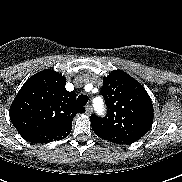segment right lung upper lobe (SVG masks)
<instances>
[{
  "mask_svg": "<svg viewBox=\"0 0 182 182\" xmlns=\"http://www.w3.org/2000/svg\"><path fill=\"white\" fill-rule=\"evenodd\" d=\"M64 76L50 69L31 76L11 104L9 115L18 133L31 143L66 138L72 120L85 109L76 104L75 92L65 89Z\"/></svg>",
  "mask_w": 182,
  "mask_h": 182,
  "instance_id": "1",
  "label": "right lung upper lobe"
}]
</instances>
